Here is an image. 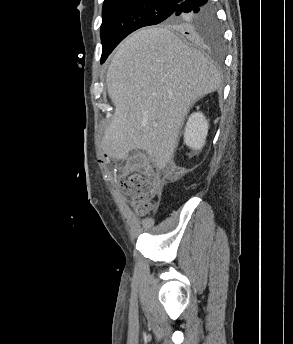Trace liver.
Instances as JSON below:
<instances>
[{
	"mask_svg": "<svg viewBox=\"0 0 293 344\" xmlns=\"http://www.w3.org/2000/svg\"><path fill=\"white\" fill-rule=\"evenodd\" d=\"M107 91L115 106L104 148L115 159L145 150L156 168L174 156L193 104L218 90L221 73L204 54L169 28L139 30L125 39L109 65Z\"/></svg>",
	"mask_w": 293,
	"mask_h": 344,
	"instance_id": "6515ba94",
	"label": "liver"
}]
</instances>
